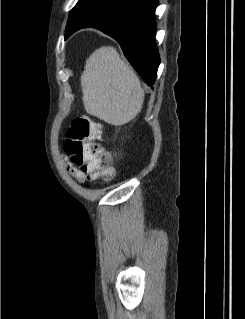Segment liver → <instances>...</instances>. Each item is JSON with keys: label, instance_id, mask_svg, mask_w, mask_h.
Wrapping results in <instances>:
<instances>
[{"label": "liver", "instance_id": "obj_1", "mask_svg": "<svg viewBox=\"0 0 245 319\" xmlns=\"http://www.w3.org/2000/svg\"><path fill=\"white\" fill-rule=\"evenodd\" d=\"M80 80L86 112L108 124H127L142 109L145 94L139 78L114 47L96 49Z\"/></svg>", "mask_w": 245, "mask_h": 319}]
</instances>
